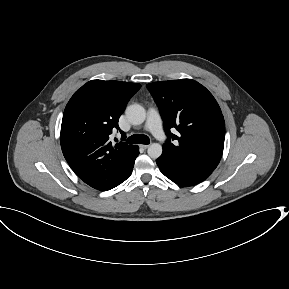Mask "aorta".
I'll return each mask as SVG.
<instances>
[{
	"label": "aorta",
	"mask_w": 289,
	"mask_h": 289,
	"mask_svg": "<svg viewBox=\"0 0 289 289\" xmlns=\"http://www.w3.org/2000/svg\"><path fill=\"white\" fill-rule=\"evenodd\" d=\"M126 117L133 125L142 124L146 118L145 109L139 104H132L126 108ZM162 146L159 143H152L148 147V155L152 159H157L162 155Z\"/></svg>",
	"instance_id": "aorta-1"
}]
</instances>
